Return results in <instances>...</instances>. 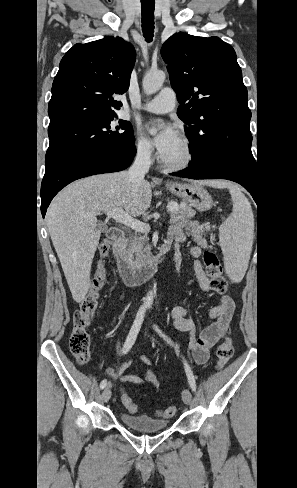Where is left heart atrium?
Masks as SVG:
<instances>
[{"mask_svg": "<svg viewBox=\"0 0 297 488\" xmlns=\"http://www.w3.org/2000/svg\"><path fill=\"white\" fill-rule=\"evenodd\" d=\"M179 139V134L174 126L165 125L158 128L154 137V145L162 158L169 151L172 145Z\"/></svg>", "mask_w": 297, "mask_h": 488, "instance_id": "left-heart-atrium-1", "label": "left heart atrium"}]
</instances>
